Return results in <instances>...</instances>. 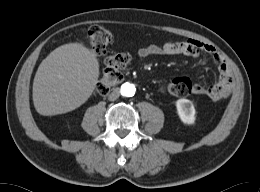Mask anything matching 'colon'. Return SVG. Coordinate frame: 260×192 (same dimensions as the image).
<instances>
[{
	"label": "colon",
	"mask_w": 260,
	"mask_h": 192,
	"mask_svg": "<svg viewBox=\"0 0 260 192\" xmlns=\"http://www.w3.org/2000/svg\"><path fill=\"white\" fill-rule=\"evenodd\" d=\"M88 41L92 50L97 54H104L112 41V33L101 25H93L88 31ZM129 57L125 53L113 54L106 58L102 78L96 86L98 95L104 96L118 83L127 68ZM161 92L173 96H186L192 93L193 83L185 77L172 79L160 87Z\"/></svg>",
	"instance_id": "1"
}]
</instances>
